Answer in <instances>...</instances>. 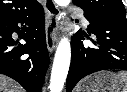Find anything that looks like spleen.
I'll list each match as a JSON object with an SVG mask.
<instances>
[{"label": "spleen", "instance_id": "spleen-1", "mask_svg": "<svg viewBox=\"0 0 127 92\" xmlns=\"http://www.w3.org/2000/svg\"><path fill=\"white\" fill-rule=\"evenodd\" d=\"M117 76L125 85L121 92H127V72H119Z\"/></svg>", "mask_w": 127, "mask_h": 92}]
</instances>
